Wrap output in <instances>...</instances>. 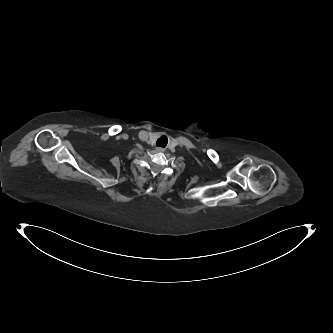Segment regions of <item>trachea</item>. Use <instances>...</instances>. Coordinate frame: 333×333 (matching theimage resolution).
Here are the masks:
<instances>
[{
    "instance_id": "1",
    "label": "trachea",
    "mask_w": 333,
    "mask_h": 333,
    "mask_svg": "<svg viewBox=\"0 0 333 333\" xmlns=\"http://www.w3.org/2000/svg\"><path fill=\"white\" fill-rule=\"evenodd\" d=\"M168 139L166 136H161L157 142L156 145L160 147H165L167 145Z\"/></svg>"
}]
</instances>
